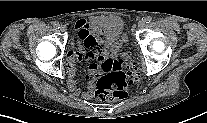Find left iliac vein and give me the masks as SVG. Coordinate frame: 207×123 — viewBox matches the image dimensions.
Wrapping results in <instances>:
<instances>
[{"instance_id": "4c4485c4", "label": "left iliac vein", "mask_w": 207, "mask_h": 123, "mask_svg": "<svg viewBox=\"0 0 207 123\" xmlns=\"http://www.w3.org/2000/svg\"><path fill=\"white\" fill-rule=\"evenodd\" d=\"M144 26H145V21H144V20L139 21V23H138V28L141 29V28H143Z\"/></svg>"}]
</instances>
